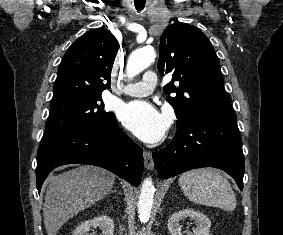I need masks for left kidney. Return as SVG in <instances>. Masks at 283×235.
<instances>
[{"label":"left kidney","mask_w":283,"mask_h":235,"mask_svg":"<svg viewBox=\"0 0 283 235\" xmlns=\"http://www.w3.org/2000/svg\"><path fill=\"white\" fill-rule=\"evenodd\" d=\"M187 217L193 219L196 225L188 235H210L211 221L204 214L188 208L170 216L167 226L171 235H183L180 223Z\"/></svg>","instance_id":"5707ae66"}]
</instances>
